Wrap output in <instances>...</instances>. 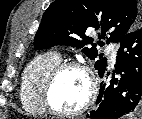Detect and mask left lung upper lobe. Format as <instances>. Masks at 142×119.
<instances>
[{"instance_id": "1", "label": "left lung upper lobe", "mask_w": 142, "mask_h": 119, "mask_svg": "<svg viewBox=\"0 0 142 119\" xmlns=\"http://www.w3.org/2000/svg\"><path fill=\"white\" fill-rule=\"evenodd\" d=\"M141 23L138 0H55L43 14L34 45L37 49L57 44L83 48L82 51L91 60L99 56L95 63L99 74L105 70L107 60L98 55L96 44L85 35V31L90 27L101 28L99 39L107 43L119 42ZM103 41L97 43L102 46ZM86 44H92V47H84Z\"/></svg>"}]
</instances>
